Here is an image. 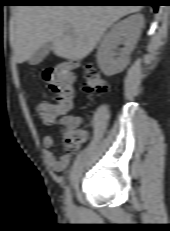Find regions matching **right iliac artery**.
Returning <instances> with one entry per match:
<instances>
[{"mask_svg":"<svg viewBox=\"0 0 170 231\" xmlns=\"http://www.w3.org/2000/svg\"><path fill=\"white\" fill-rule=\"evenodd\" d=\"M65 195H66V203H67V205H71L72 197H71V191H70L69 187L66 188Z\"/></svg>","mask_w":170,"mask_h":231,"instance_id":"right-iliac-artery-1","label":"right iliac artery"}]
</instances>
